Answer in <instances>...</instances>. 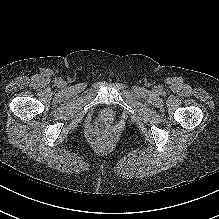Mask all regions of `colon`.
Here are the masks:
<instances>
[{"label": "colon", "mask_w": 219, "mask_h": 219, "mask_svg": "<svg viewBox=\"0 0 219 219\" xmlns=\"http://www.w3.org/2000/svg\"><path fill=\"white\" fill-rule=\"evenodd\" d=\"M108 145V141L105 138H100L97 142V146L100 148L106 147Z\"/></svg>", "instance_id": "5ec220e1"}]
</instances>
